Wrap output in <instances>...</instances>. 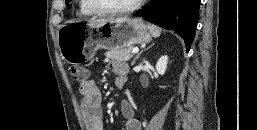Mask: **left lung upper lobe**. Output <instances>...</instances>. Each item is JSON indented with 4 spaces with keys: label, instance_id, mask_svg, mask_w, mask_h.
Segmentation results:
<instances>
[{
    "label": "left lung upper lobe",
    "instance_id": "left-lung-upper-lobe-1",
    "mask_svg": "<svg viewBox=\"0 0 257 130\" xmlns=\"http://www.w3.org/2000/svg\"><path fill=\"white\" fill-rule=\"evenodd\" d=\"M70 2V0H66V4H68Z\"/></svg>",
    "mask_w": 257,
    "mask_h": 130
}]
</instances>
